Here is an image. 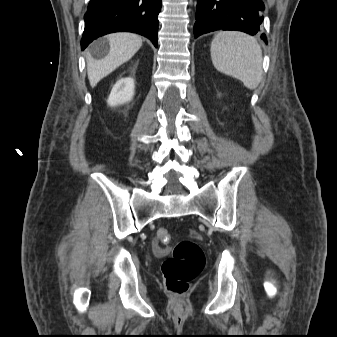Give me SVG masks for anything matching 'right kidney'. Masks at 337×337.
<instances>
[{
    "label": "right kidney",
    "instance_id": "1",
    "mask_svg": "<svg viewBox=\"0 0 337 337\" xmlns=\"http://www.w3.org/2000/svg\"><path fill=\"white\" fill-rule=\"evenodd\" d=\"M134 80L131 77L119 79L113 86L107 103L111 107L125 104L134 96Z\"/></svg>",
    "mask_w": 337,
    "mask_h": 337
}]
</instances>
